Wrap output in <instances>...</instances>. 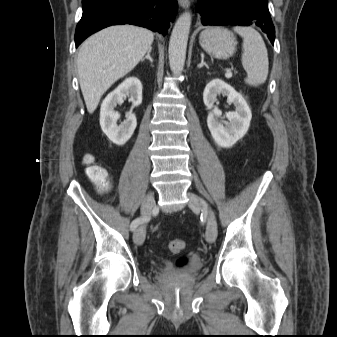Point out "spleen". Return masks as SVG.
Wrapping results in <instances>:
<instances>
[{
	"mask_svg": "<svg viewBox=\"0 0 337 337\" xmlns=\"http://www.w3.org/2000/svg\"><path fill=\"white\" fill-rule=\"evenodd\" d=\"M233 30L243 38L242 65L247 72L245 83L255 87L265 83L269 61L261 35L252 27L236 26Z\"/></svg>",
	"mask_w": 337,
	"mask_h": 337,
	"instance_id": "spleen-1",
	"label": "spleen"
}]
</instances>
